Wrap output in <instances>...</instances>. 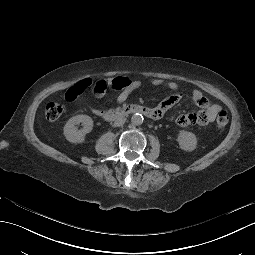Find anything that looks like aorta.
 <instances>
[{
    "label": "aorta",
    "instance_id": "762f6f07",
    "mask_svg": "<svg viewBox=\"0 0 255 255\" xmlns=\"http://www.w3.org/2000/svg\"><path fill=\"white\" fill-rule=\"evenodd\" d=\"M143 120H144L143 115L139 113H135L131 117L132 124L136 126L141 125L143 123Z\"/></svg>",
    "mask_w": 255,
    "mask_h": 255
}]
</instances>
